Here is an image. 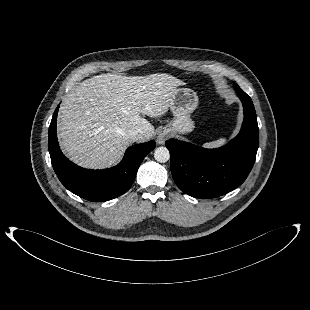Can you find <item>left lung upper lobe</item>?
<instances>
[{
  "label": "left lung upper lobe",
  "instance_id": "5c2ea615",
  "mask_svg": "<svg viewBox=\"0 0 310 310\" xmlns=\"http://www.w3.org/2000/svg\"><path fill=\"white\" fill-rule=\"evenodd\" d=\"M239 86L237 85V84H234V88L236 89V88H238Z\"/></svg>",
  "mask_w": 310,
  "mask_h": 310
}]
</instances>
